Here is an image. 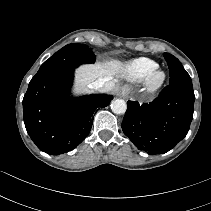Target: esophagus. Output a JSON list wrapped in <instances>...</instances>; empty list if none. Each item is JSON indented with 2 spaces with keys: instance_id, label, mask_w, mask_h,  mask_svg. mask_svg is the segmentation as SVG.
Segmentation results:
<instances>
[{
  "instance_id": "obj_1",
  "label": "esophagus",
  "mask_w": 211,
  "mask_h": 211,
  "mask_svg": "<svg viewBox=\"0 0 211 211\" xmlns=\"http://www.w3.org/2000/svg\"><path fill=\"white\" fill-rule=\"evenodd\" d=\"M128 95V89L127 88H122L119 89L117 92V96L120 98H125Z\"/></svg>"
}]
</instances>
